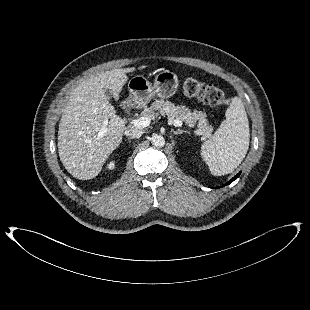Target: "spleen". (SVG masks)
Wrapping results in <instances>:
<instances>
[{
	"label": "spleen",
	"mask_w": 310,
	"mask_h": 310,
	"mask_svg": "<svg viewBox=\"0 0 310 310\" xmlns=\"http://www.w3.org/2000/svg\"><path fill=\"white\" fill-rule=\"evenodd\" d=\"M222 122L211 139L200 150L210 172L221 176L233 172L245 158L250 141L247 114L240 98L234 97Z\"/></svg>",
	"instance_id": "3e777b00"
}]
</instances>
